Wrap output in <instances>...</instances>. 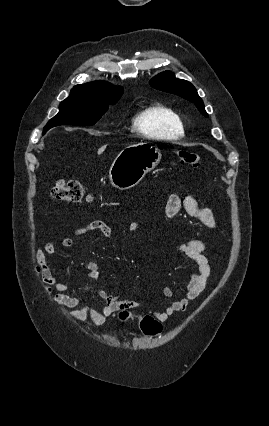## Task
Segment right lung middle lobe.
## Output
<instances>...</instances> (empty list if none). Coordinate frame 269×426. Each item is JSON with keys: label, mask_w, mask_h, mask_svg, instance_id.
Instances as JSON below:
<instances>
[{"label": "right lung middle lobe", "mask_w": 269, "mask_h": 426, "mask_svg": "<svg viewBox=\"0 0 269 426\" xmlns=\"http://www.w3.org/2000/svg\"><path fill=\"white\" fill-rule=\"evenodd\" d=\"M119 98L70 95L61 102L59 113L47 123L44 130L66 124L93 125L107 111L109 105L115 104Z\"/></svg>", "instance_id": "obj_1"}]
</instances>
